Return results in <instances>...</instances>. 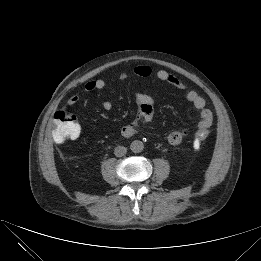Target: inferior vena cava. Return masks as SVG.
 I'll use <instances>...</instances> for the list:
<instances>
[{"label":"inferior vena cava","instance_id":"obj_1","mask_svg":"<svg viewBox=\"0 0 261 261\" xmlns=\"http://www.w3.org/2000/svg\"><path fill=\"white\" fill-rule=\"evenodd\" d=\"M127 153V148L124 146H117L114 150V154L117 157H122Z\"/></svg>","mask_w":261,"mask_h":261}]
</instances>
